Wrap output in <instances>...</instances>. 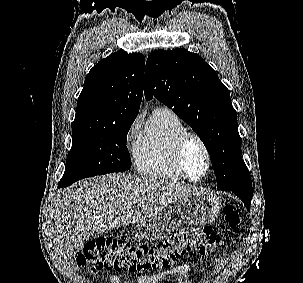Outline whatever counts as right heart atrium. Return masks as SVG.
<instances>
[{
	"mask_svg": "<svg viewBox=\"0 0 303 283\" xmlns=\"http://www.w3.org/2000/svg\"><path fill=\"white\" fill-rule=\"evenodd\" d=\"M140 127V121L135 120L129 127L127 134H126V141L127 143L133 142L138 130Z\"/></svg>",
	"mask_w": 303,
	"mask_h": 283,
	"instance_id": "1",
	"label": "right heart atrium"
}]
</instances>
